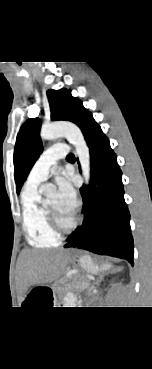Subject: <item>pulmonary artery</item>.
I'll return each mask as SVG.
<instances>
[{
  "mask_svg": "<svg viewBox=\"0 0 152 369\" xmlns=\"http://www.w3.org/2000/svg\"><path fill=\"white\" fill-rule=\"evenodd\" d=\"M68 152L69 148L65 144H55L46 149L33 165L27 178V184L38 186L45 181L49 177L56 162L66 157Z\"/></svg>",
  "mask_w": 152,
  "mask_h": 369,
  "instance_id": "1",
  "label": "pulmonary artery"
}]
</instances>
